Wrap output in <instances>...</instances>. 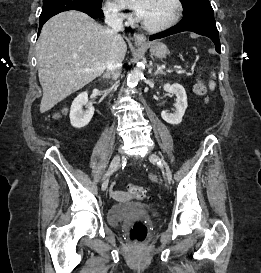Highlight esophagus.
Listing matches in <instances>:
<instances>
[{
    "instance_id": "obj_1",
    "label": "esophagus",
    "mask_w": 261,
    "mask_h": 273,
    "mask_svg": "<svg viewBox=\"0 0 261 273\" xmlns=\"http://www.w3.org/2000/svg\"><path fill=\"white\" fill-rule=\"evenodd\" d=\"M134 41L136 44H144L146 42V37L143 34H134Z\"/></svg>"
}]
</instances>
